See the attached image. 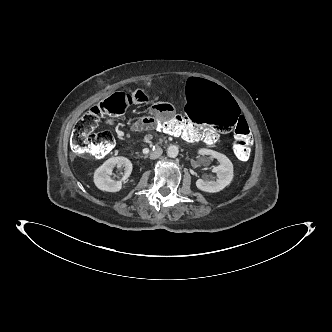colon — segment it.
I'll return each instance as SVG.
<instances>
[{"mask_svg": "<svg viewBox=\"0 0 332 332\" xmlns=\"http://www.w3.org/2000/svg\"><path fill=\"white\" fill-rule=\"evenodd\" d=\"M130 95L124 92L109 95L76 122L71 136V149L76 155L86 154L100 159L111 152L115 144L113 134L108 130H97V127L106 115H123L135 103ZM184 99L188 117L176 114L172 120H161L157 116L154 123L156 131L168 135L194 133L197 139L213 142L195 125L219 135L234 128L235 156L241 161L249 157L250 128L244 119H240L239 104L228 90L203 77H194L184 87Z\"/></svg>", "mask_w": 332, "mask_h": 332, "instance_id": "obj_1", "label": "colon"}]
</instances>
